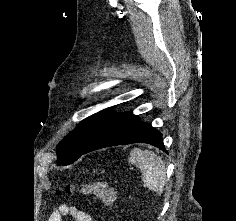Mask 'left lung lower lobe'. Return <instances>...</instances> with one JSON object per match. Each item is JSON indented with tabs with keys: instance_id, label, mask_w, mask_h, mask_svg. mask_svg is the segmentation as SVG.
Instances as JSON below:
<instances>
[{
	"instance_id": "0a47b994",
	"label": "left lung lower lobe",
	"mask_w": 236,
	"mask_h": 221,
	"mask_svg": "<svg viewBox=\"0 0 236 221\" xmlns=\"http://www.w3.org/2000/svg\"><path fill=\"white\" fill-rule=\"evenodd\" d=\"M132 143H148L165 151L162 134L151 124L141 122L138 116L129 112L111 113L77 159L99 148Z\"/></svg>"
}]
</instances>
